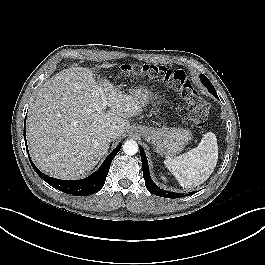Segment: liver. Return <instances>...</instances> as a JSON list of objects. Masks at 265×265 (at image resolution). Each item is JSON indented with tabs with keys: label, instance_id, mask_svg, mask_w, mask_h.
Here are the masks:
<instances>
[{
	"label": "liver",
	"instance_id": "liver-1",
	"mask_svg": "<svg viewBox=\"0 0 265 265\" xmlns=\"http://www.w3.org/2000/svg\"><path fill=\"white\" fill-rule=\"evenodd\" d=\"M112 66L64 69L38 90L27 117V140L36 166L45 174L70 180L91 171L109 149L107 131L114 129L119 138L130 126L127 119L141 114L137 97L93 73Z\"/></svg>",
	"mask_w": 265,
	"mask_h": 265
}]
</instances>
